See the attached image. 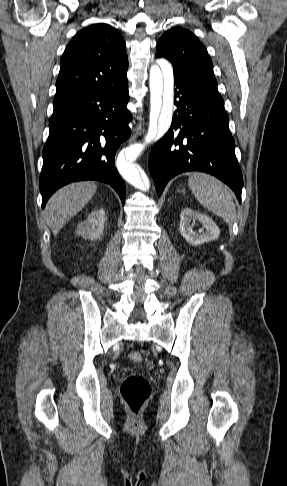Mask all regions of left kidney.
<instances>
[{
	"mask_svg": "<svg viewBox=\"0 0 287 486\" xmlns=\"http://www.w3.org/2000/svg\"><path fill=\"white\" fill-rule=\"evenodd\" d=\"M196 220L202 223L203 229L199 231L193 230L191 222ZM179 229L183 238L193 246L217 240L220 235V229L212 219L190 208H185L181 211Z\"/></svg>",
	"mask_w": 287,
	"mask_h": 486,
	"instance_id": "1",
	"label": "left kidney"
}]
</instances>
